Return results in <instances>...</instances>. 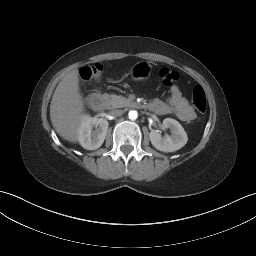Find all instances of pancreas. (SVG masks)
Returning <instances> with one entry per match:
<instances>
[{
	"instance_id": "pancreas-1",
	"label": "pancreas",
	"mask_w": 256,
	"mask_h": 256,
	"mask_svg": "<svg viewBox=\"0 0 256 256\" xmlns=\"http://www.w3.org/2000/svg\"><path fill=\"white\" fill-rule=\"evenodd\" d=\"M104 97L111 108L125 107L131 103L129 99L115 94H104Z\"/></svg>"
}]
</instances>
